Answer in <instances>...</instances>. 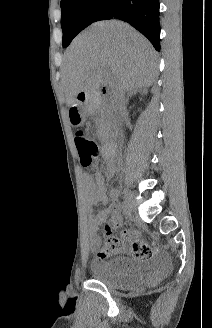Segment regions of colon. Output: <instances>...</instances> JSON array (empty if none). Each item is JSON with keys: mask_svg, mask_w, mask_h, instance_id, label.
Segmentation results:
<instances>
[{"mask_svg": "<svg viewBox=\"0 0 212 328\" xmlns=\"http://www.w3.org/2000/svg\"><path fill=\"white\" fill-rule=\"evenodd\" d=\"M75 146L79 155L80 163L83 167H89L98 155V146L96 142L87 136L83 130H78L75 135ZM109 231V228H106ZM115 244L114 237H108L104 244V254H108ZM151 254L147 253L144 259L150 257Z\"/></svg>", "mask_w": 212, "mask_h": 328, "instance_id": "5ec220e1", "label": "colon"}]
</instances>
